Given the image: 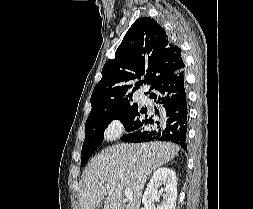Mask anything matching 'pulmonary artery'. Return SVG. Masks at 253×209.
I'll return each mask as SVG.
<instances>
[{"mask_svg": "<svg viewBox=\"0 0 253 209\" xmlns=\"http://www.w3.org/2000/svg\"><path fill=\"white\" fill-rule=\"evenodd\" d=\"M140 101H141L142 103L146 104V103L149 102V99H148V97L142 95V96H140Z\"/></svg>", "mask_w": 253, "mask_h": 209, "instance_id": "e3ab8cb5", "label": "pulmonary artery"}]
</instances>
